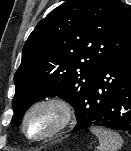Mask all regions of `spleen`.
<instances>
[{"instance_id": "spleen-1", "label": "spleen", "mask_w": 131, "mask_h": 151, "mask_svg": "<svg viewBox=\"0 0 131 151\" xmlns=\"http://www.w3.org/2000/svg\"><path fill=\"white\" fill-rule=\"evenodd\" d=\"M90 131L99 140V151H118L123 144L121 136L102 127H92Z\"/></svg>"}]
</instances>
